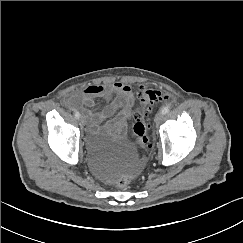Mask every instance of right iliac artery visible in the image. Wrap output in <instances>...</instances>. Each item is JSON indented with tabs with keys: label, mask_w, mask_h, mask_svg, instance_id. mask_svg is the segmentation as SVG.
<instances>
[{
	"label": "right iliac artery",
	"mask_w": 243,
	"mask_h": 243,
	"mask_svg": "<svg viewBox=\"0 0 243 243\" xmlns=\"http://www.w3.org/2000/svg\"><path fill=\"white\" fill-rule=\"evenodd\" d=\"M75 117L77 118V119H79L80 118V114H79V112H75Z\"/></svg>",
	"instance_id": "82829eb1"
}]
</instances>
